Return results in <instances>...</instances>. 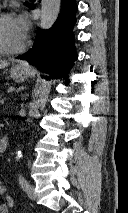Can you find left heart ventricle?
<instances>
[{"label":"left heart ventricle","mask_w":128,"mask_h":213,"mask_svg":"<svg viewBox=\"0 0 128 213\" xmlns=\"http://www.w3.org/2000/svg\"><path fill=\"white\" fill-rule=\"evenodd\" d=\"M0 39L8 48H17L24 42L17 32L12 18H6L0 23Z\"/></svg>","instance_id":"obj_1"}]
</instances>
